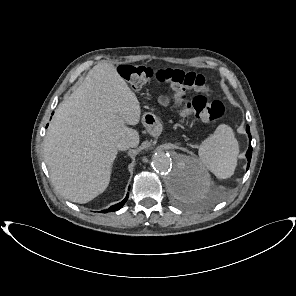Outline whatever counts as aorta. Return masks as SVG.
Returning a JSON list of instances; mask_svg holds the SVG:
<instances>
[{"mask_svg": "<svg viewBox=\"0 0 296 296\" xmlns=\"http://www.w3.org/2000/svg\"><path fill=\"white\" fill-rule=\"evenodd\" d=\"M151 164L163 176L167 192L174 201L192 203L208 195L209 180L195 158L160 151L153 155Z\"/></svg>", "mask_w": 296, "mask_h": 296, "instance_id": "1", "label": "aorta"}]
</instances>
